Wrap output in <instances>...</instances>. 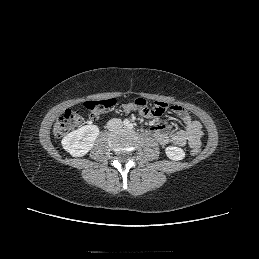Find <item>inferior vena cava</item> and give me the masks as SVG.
<instances>
[{
	"instance_id": "inferior-vena-cava-1",
	"label": "inferior vena cava",
	"mask_w": 259,
	"mask_h": 259,
	"mask_svg": "<svg viewBox=\"0 0 259 259\" xmlns=\"http://www.w3.org/2000/svg\"><path fill=\"white\" fill-rule=\"evenodd\" d=\"M122 126H123V123H122L121 119H118V118H113V119L109 120L107 123V128L110 131L118 130V129L122 128Z\"/></svg>"
}]
</instances>
